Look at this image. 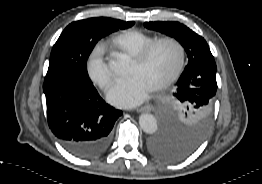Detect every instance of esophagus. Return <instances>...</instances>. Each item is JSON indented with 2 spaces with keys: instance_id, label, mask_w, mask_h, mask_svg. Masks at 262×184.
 <instances>
[{
  "instance_id": "esophagus-1",
  "label": "esophagus",
  "mask_w": 262,
  "mask_h": 184,
  "mask_svg": "<svg viewBox=\"0 0 262 184\" xmlns=\"http://www.w3.org/2000/svg\"><path fill=\"white\" fill-rule=\"evenodd\" d=\"M154 109V106L152 104H146L140 108H137V112H150Z\"/></svg>"
}]
</instances>
